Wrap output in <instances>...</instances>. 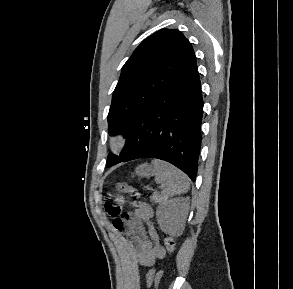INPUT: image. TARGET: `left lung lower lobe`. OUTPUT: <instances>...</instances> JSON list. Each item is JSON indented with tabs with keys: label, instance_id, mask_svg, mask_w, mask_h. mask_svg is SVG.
<instances>
[{
	"label": "left lung lower lobe",
	"instance_id": "0a47b994",
	"mask_svg": "<svg viewBox=\"0 0 293 289\" xmlns=\"http://www.w3.org/2000/svg\"><path fill=\"white\" fill-rule=\"evenodd\" d=\"M202 114L201 83L195 64L134 122L126 135L123 162L158 158L175 165L195 181Z\"/></svg>",
	"mask_w": 293,
	"mask_h": 289
}]
</instances>
